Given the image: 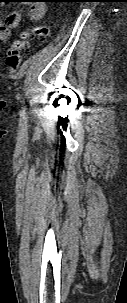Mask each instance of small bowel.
<instances>
[{"mask_svg": "<svg viewBox=\"0 0 127 303\" xmlns=\"http://www.w3.org/2000/svg\"><path fill=\"white\" fill-rule=\"evenodd\" d=\"M42 0L34 1L28 9V17L33 21H40L44 18L46 13L45 4L41 3ZM22 20V13L14 11L8 14L5 21L0 19V42L8 39L10 31L16 28Z\"/></svg>", "mask_w": 127, "mask_h": 303, "instance_id": "1", "label": "small bowel"}]
</instances>
